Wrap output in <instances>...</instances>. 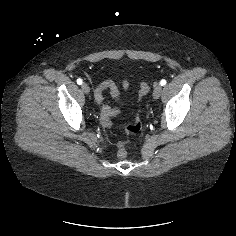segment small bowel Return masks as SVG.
<instances>
[{
    "instance_id": "obj_1",
    "label": "small bowel",
    "mask_w": 236,
    "mask_h": 236,
    "mask_svg": "<svg viewBox=\"0 0 236 236\" xmlns=\"http://www.w3.org/2000/svg\"><path fill=\"white\" fill-rule=\"evenodd\" d=\"M122 86L125 92L129 89V82L126 79L122 80ZM110 90L112 97L119 101L122 99V95L116 86V84L111 80H106L100 83L94 92L95 101L101 106V119L103 122L108 123L111 118L120 115L121 111L117 108H111L108 104L104 102L103 91Z\"/></svg>"
}]
</instances>
